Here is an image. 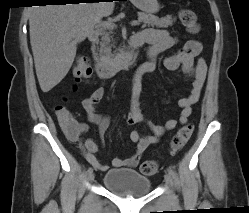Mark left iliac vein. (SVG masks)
<instances>
[{
	"label": "left iliac vein",
	"instance_id": "1",
	"mask_svg": "<svg viewBox=\"0 0 249 213\" xmlns=\"http://www.w3.org/2000/svg\"><path fill=\"white\" fill-rule=\"evenodd\" d=\"M164 179H165V183L166 185L168 186L169 190H170V193L173 194V191L171 189L172 187V177L169 173H166L165 176H164Z\"/></svg>",
	"mask_w": 249,
	"mask_h": 213
}]
</instances>
